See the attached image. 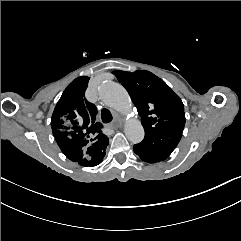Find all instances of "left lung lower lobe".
Returning a JSON list of instances; mask_svg holds the SVG:
<instances>
[{
	"mask_svg": "<svg viewBox=\"0 0 241 241\" xmlns=\"http://www.w3.org/2000/svg\"><path fill=\"white\" fill-rule=\"evenodd\" d=\"M183 130L160 131L151 138L135 144L134 152L148 163L165 160L175 149L182 137Z\"/></svg>",
	"mask_w": 241,
	"mask_h": 241,
	"instance_id": "left-lung-lower-lobe-1",
	"label": "left lung lower lobe"
}]
</instances>
